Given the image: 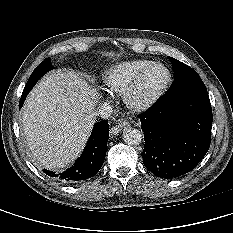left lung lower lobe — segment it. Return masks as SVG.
I'll return each instance as SVG.
<instances>
[{
  "label": "left lung lower lobe",
  "instance_id": "obj_1",
  "mask_svg": "<svg viewBox=\"0 0 233 233\" xmlns=\"http://www.w3.org/2000/svg\"><path fill=\"white\" fill-rule=\"evenodd\" d=\"M139 118L143 163L158 177L190 172L209 149L213 116L207 91L167 93Z\"/></svg>",
  "mask_w": 233,
  "mask_h": 233
}]
</instances>
